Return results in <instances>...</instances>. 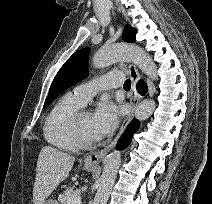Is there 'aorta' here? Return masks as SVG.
<instances>
[{
    "label": "aorta",
    "instance_id": "obj_1",
    "mask_svg": "<svg viewBox=\"0 0 212 204\" xmlns=\"http://www.w3.org/2000/svg\"><path fill=\"white\" fill-rule=\"evenodd\" d=\"M122 60L133 62L152 80H156L158 78L157 67L151 56L136 45L115 44L108 47H102L94 55L93 65L95 68H104ZM155 107L156 105L154 100L142 101L136 107V118L139 120L149 118L154 112ZM120 163L121 152L114 151L107 156L100 179V185L97 189L93 204L107 203Z\"/></svg>",
    "mask_w": 212,
    "mask_h": 204
}]
</instances>
